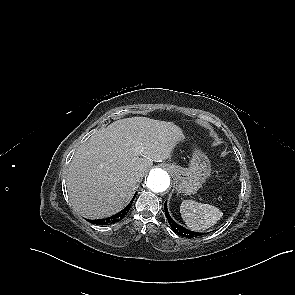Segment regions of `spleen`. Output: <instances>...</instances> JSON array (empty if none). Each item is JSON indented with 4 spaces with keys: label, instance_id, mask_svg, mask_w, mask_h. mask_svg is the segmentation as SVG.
Wrapping results in <instances>:
<instances>
[{
    "label": "spleen",
    "instance_id": "3e777b00",
    "mask_svg": "<svg viewBox=\"0 0 295 295\" xmlns=\"http://www.w3.org/2000/svg\"><path fill=\"white\" fill-rule=\"evenodd\" d=\"M180 213L188 228L201 231L215 225L223 213L215 206L193 200H184L180 205Z\"/></svg>",
    "mask_w": 295,
    "mask_h": 295
}]
</instances>
